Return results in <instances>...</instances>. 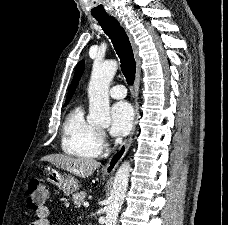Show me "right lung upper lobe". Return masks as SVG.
<instances>
[{
	"label": "right lung upper lobe",
	"mask_w": 228,
	"mask_h": 225,
	"mask_svg": "<svg viewBox=\"0 0 228 225\" xmlns=\"http://www.w3.org/2000/svg\"><path fill=\"white\" fill-rule=\"evenodd\" d=\"M84 61H80L78 63V65L76 66V69H75V75H74V78H73V81L70 85V88H69V91H68V95H67V98H66V104H68V101L71 99L73 93L75 92V89L79 83V80L81 78V75L84 71Z\"/></svg>",
	"instance_id": "cb5924a9"
}]
</instances>
